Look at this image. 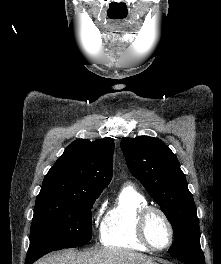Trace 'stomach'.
I'll return each instance as SVG.
<instances>
[{
	"label": "stomach",
	"instance_id": "obj_1",
	"mask_svg": "<svg viewBox=\"0 0 221 264\" xmlns=\"http://www.w3.org/2000/svg\"><path fill=\"white\" fill-rule=\"evenodd\" d=\"M149 264H158V263H156V262H153V261H152V262H151V263H149Z\"/></svg>",
	"mask_w": 221,
	"mask_h": 264
}]
</instances>
